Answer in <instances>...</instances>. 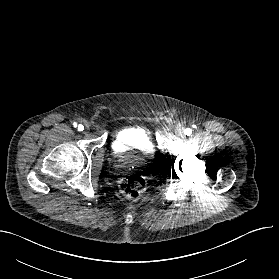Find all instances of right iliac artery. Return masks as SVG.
Returning a JSON list of instances; mask_svg holds the SVG:
<instances>
[{"label": "right iliac artery", "mask_w": 279, "mask_h": 279, "mask_svg": "<svg viewBox=\"0 0 279 279\" xmlns=\"http://www.w3.org/2000/svg\"><path fill=\"white\" fill-rule=\"evenodd\" d=\"M73 126H74V127H78V130H79V131H83V129H84L83 125H79V126H78L77 123H74Z\"/></svg>", "instance_id": "obj_1"}]
</instances>
